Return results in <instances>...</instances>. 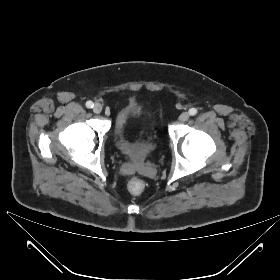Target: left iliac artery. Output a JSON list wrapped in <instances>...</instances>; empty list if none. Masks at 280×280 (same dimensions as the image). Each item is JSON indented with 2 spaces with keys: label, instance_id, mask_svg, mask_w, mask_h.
Masks as SVG:
<instances>
[{
  "label": "left iliac artery",
  "instance_id": "44dca946",
  "mask_svg": "<svg viewBox=\"0 0 280 280\" xmlns=\"http://www.w3.org/2000/svg\"><path fill=\"white\" fill-rule=\"evenodd\" d=\"M189 114H190L191 116L196 115V114H197V109H196V108H191V109H189Z\"/></svg>",
  "mask_w": 280,
  "mask_h": 280
}]
</instances>
